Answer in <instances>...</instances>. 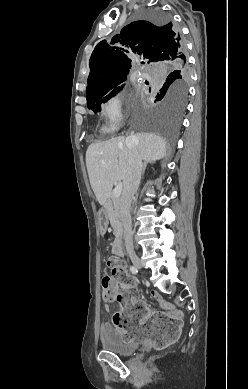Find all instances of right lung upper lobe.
Here are the masks:
<instances>
[{
  "mask_svg": "<svg viewBox=\"0 0 248 389\" xmlns=\"http://www.w3.org/2000/svg\"><path fill=\"white\" fill-rule=\"evenodd\" d=\"M177 31L172 23L157 25L148 21H135L126 25L121 33L111 40L98 43L92 52L87 80L86 97L102 88L109 87L115 80L126 78L131 61L126 53L142 56L147 63L163 67L171 62L186 64L184 44L177 40ZM182 49L179 52V44Z\"/></svg>",
  "mask_w": 248,
  "mask_h": 389,
  "instance_id": "cb5924a9",
  "label": "right lung upper lobe"
}]
</instances>
